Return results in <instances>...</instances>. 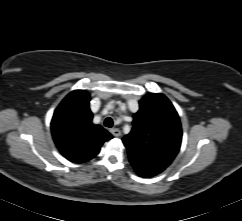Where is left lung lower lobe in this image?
<instances>
[{"label":"left lung lower lobe","instance_id":"0a47b994","mask_svg":"<svg viewBox=\"0 0 242 221\" xmlns=\"http://www.w3.org/2000/svg\"><path fill=\"white\" fill-rule=\"evenodd\" d=\"M130 163L136 173L141 177H152L161 173L166 167L160 164L141 161L135 158H130Z\"/></svg>","mask_w":242,"mask_h":221}]
</instances>
